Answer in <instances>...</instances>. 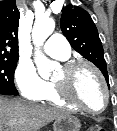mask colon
<instances>
[{
    "mask_svg": "<svg viewBox=\"0 0 117 131\" xmlns=\"http://www.w3.org/2000/svg\"><path fill=\"white\" fill-rule=\"evenodd\" d=\"M87 131H105V130L99 125H91Z\"/></svg>",
    "mask_w": 117,
    "mask_h": 131,
    "instance_id": "5ec220e1",
    "label": "colon"
}]
</instances>
